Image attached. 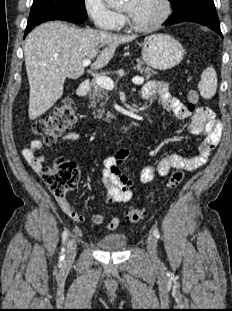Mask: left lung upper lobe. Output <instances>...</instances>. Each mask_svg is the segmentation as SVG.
Returning <instances> with one entry per match:
<instances>
[{
  "label": "left lung upper lobe",
  "instance_id": "left-lung-upper-lobe-1",
  "mask_svg": "<svg viewBox=\"0 0 232 311\" xmlns=\"http://www.w3.org/2000/svg\"><path fill=\"white\" fill-rule=\"evenodd\" d=\"M172 4V8H175L178 4H180L183 0H169Z\"/></svg>",
  "mask_w": 232,
  "mask_h": 311
}]
</instances>
